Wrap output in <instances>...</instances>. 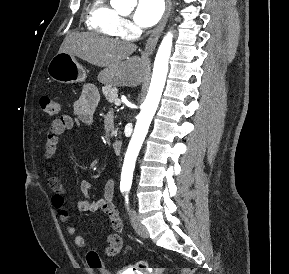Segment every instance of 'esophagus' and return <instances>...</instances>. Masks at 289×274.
<instances>
[{"instance_id": "34e87169", "label": "esophagus", "mask_w": 289, "mask_h": 274, "mask_svg": "<svg viewBox=\"0 0 289 274\" xmlns=\"http://www.w3.org/2000/svg\"><path fill=\"white\" fill-rule=\"evenodd\" d=\"M171 6H172V2L171 0H166V9H165V13L162 17V19L160 20L159 24L154 28V30L152 31L151 35L149 36L146 45H145V49L144 52L146 54H152L153 51L156 48V45L158 43V40L162 34V31L167 23L170 11H171Z\"/></svg>"}]
</instances>
